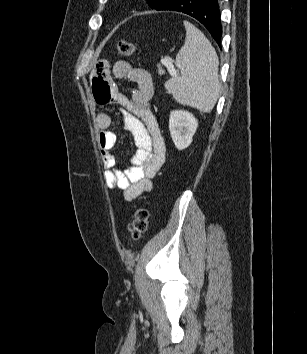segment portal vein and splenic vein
Masks as SVG:
<instances>
[{"label": "portal vein and splenic vein", "instance_id": "1", "mask_svg": "<svg viewBox=\"0 0 307 354\" xmlns=\"http://www.w3.org/2000/svg\"><path fill=\"white\" fill-rule=\"evenodd\" d=\"M161 63L164 64L168 68V71L171 76H176V71L170 61L163 59V60H161Z\"/></svg>", "mask_w": 307, "mask_h": 354}]
</instances>
